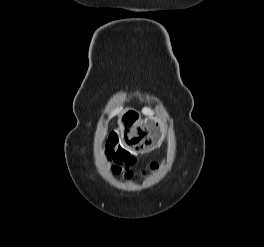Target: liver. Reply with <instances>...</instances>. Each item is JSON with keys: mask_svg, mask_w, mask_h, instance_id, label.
<instances>
[{"mask_svg": "<svg viewBox=\"0 0 264 247\" xmlns=\"http://www.w3.org/2000/svg\"><path fill=\"white\" fill-rule=\"evenodd\" d=\"M143 113H145V114H152V112L149 109H147V108L143 109Z\"/></svg>", "mask_w": 264, "mask_h": 247, "instance_id": "obj_1", "label": "liver"}]
</instances>
